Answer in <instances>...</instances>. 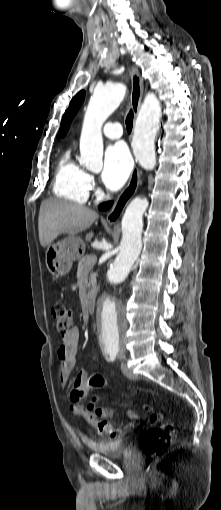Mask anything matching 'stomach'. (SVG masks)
Returning <instances> with one entry per match:
<instances>
[{
  "label": "stomach",
  "instance_id": "stomach-1",
  "mask_svg": "<svg viewBox=\"0 0 221 510\" xmlns=\"http://www.w3.org/2000/svg\"><path fill=\"white\" fill-rule=\"evenodd\" d=\"M83 252V241L79 237L68 236L47 247L46 267L54 277L65 276L70 272L73 261L79 259Z\"/></svg>",
  "mask_w": 221,
  "mask_h": 510
}]
</instances>
